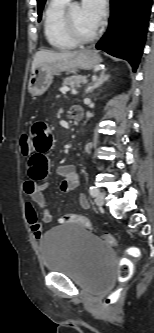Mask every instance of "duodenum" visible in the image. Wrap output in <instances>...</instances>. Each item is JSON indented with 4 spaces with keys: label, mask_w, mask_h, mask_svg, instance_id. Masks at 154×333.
<instances>
[{
    "label": "duodenum",
    "mask_w": 154,
    "mask_h": 333,
    "mask_svg": "<svg viewBox=\"0 0 154 333\" xmlns=\"http://www.w3.org/2000/svg\"><path fill=\"white\" fill-rule=\"evenodd\" d=\"M71 118L75 121V122H79L83 119L84 116V111L81 107H74L71 109Z\"/></svg>",
    "instance_id": "obj_1"
}]
</instances>
